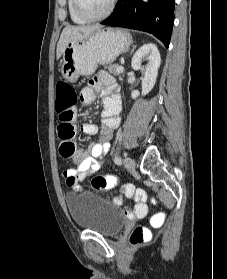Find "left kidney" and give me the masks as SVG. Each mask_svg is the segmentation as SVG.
I'll return each mask as SVG.
<instances>
[{
  "label": "left kidney",
  "instance_id": "left-kidney-1",
  "mask_svg": "<svg viewBox=\"0 0 227 279\" xmlns=\"http://www.w3.org/2000/svg\"><path fill=\"white\" fill-rule=\"evenodd\" d=\"M147 60L145 67L142 62ZM161 57L157 46L153 43L144 44L133 55L131 66L134 70H144L145 74L142 79V95L148 94L154 87L158 76ZM140 95L138 90H133L131 97L136 99Z\"/></svg>",
  "mask_w": 227,
  "mask_h": 279
}]
</instances>
